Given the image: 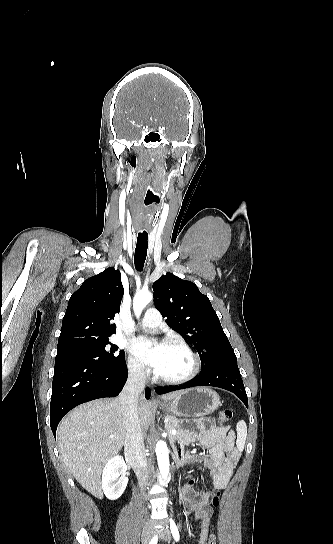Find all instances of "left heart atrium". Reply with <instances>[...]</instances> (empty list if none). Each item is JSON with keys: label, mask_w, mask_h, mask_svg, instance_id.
<instances>
[{"label": "left heart atrium", "mask_w": 333, "mask_h": 544, "mask_svg": "<svg viewBox=\"0 0 333 544\" xmlns=\"http://www.w3.org/2000/svg\"><path fill=\"white\" fill-rule=\"evenodd\" d=\"M167 345L164 343L151 346L145 338H136L130 343L131 351L146 365L155 371L160 367Z\"/></svg>", "instance_id": "39dd6f15"}]
</instances>
